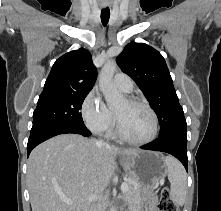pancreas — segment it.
Wrapping results in <instances>:
<instances>
[{"mask_svg":"<svg viewBox=\"0 0 221 211\" xmlns=\"http://www.w3.org/2000/svg\"><path fill=\"white\" fill-rule=\"evenodd\" d=\"M128 190L124 193L125 200L128 204L129 211H139L141 204L146 202L142 195L140 185L131 178L127 182ZM102 211H105L102 207Z\"/></svg>","mask_w":221,"mask_h":211,"instance_id":"1","label":"pancreas"}]
</instances>
